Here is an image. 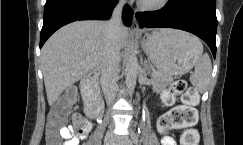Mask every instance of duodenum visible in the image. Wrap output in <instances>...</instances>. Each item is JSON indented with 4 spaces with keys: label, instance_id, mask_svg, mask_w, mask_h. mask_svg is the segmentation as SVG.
Masks as SVG:
<instances>
[{
    "label": "duodenum",
    "instance_id": "duodenum-1",
    "mask_svg": "<svg viewBox=\"0 0 243 145\" xmlns=\"http://www.w3.org/2000/svg\"><path fill=\"white\" fill-rule=\"evenodd\" d=\"M98 70L90 71L82 80V94L85 100L86 114L90 118H97L100 112L101 99L97 85Z\"/></svg>",
    "mask_w": 243,
    "mask_h": 145
}]
</instances>
